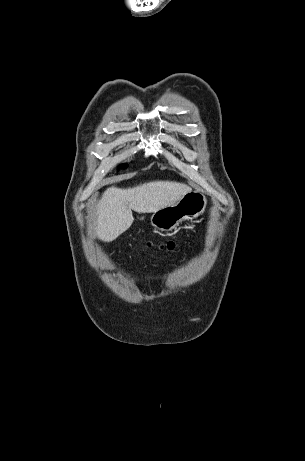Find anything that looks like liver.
I'll return each instance as SVG.
<instances>
[{"label": "liver", "instance_id": "obj_1", "mask_svg": "<svg viewBox=\"0 0 305 461\" xmlns=\"http://www.w3.org/2000/svg\"><path fill=\"white\" fill-rule=\"evenodd\" d=\"M191 190L186 184L173 181H152L127 189L110 187L97 206L94 234L111 242L132 225V210L154 213L176 204Z\"/></svg>", "mask_w": 305, "mask_h": 461}]
</instances>
